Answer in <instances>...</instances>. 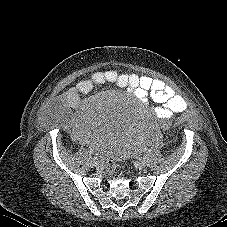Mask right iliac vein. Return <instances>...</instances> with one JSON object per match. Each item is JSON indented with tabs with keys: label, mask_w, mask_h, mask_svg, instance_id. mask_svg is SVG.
<instances>
[{
	"label": "right iliac vein",
	"mask_w": 227,
	"mask_h": 227,
	"mask_svg": "<svg viewBox=\"0 0 227 227\" xmlns=\"http://www.w3.org/2000/svg\"><path fill=\"white\" fill-rule=\"evenodd\" d=\"M93 164H94L95 167H99L100 166V162L98 160H95L93 162Z\"/></svg>",
	"instance_id": "right-iliac-vein-1"
}]
</instances>
